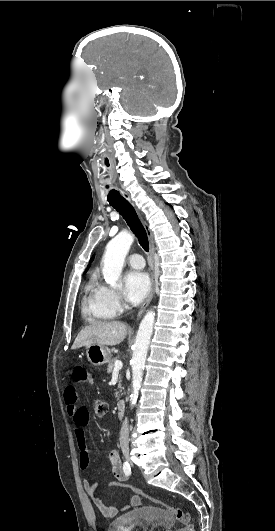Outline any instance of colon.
Here are the masks:
<instances>
[{"instance_id": "colon-1", "label": "colon", "mask_w": 275, "mask_h": 531, "mask_svg": "<svg viewBox=\"0 0 275 531\" xmlns=\"http://www.w3.org/2000/svg\"><path fill=\"white\" fill-rule=\"evenodd\" d=\"M94 411L98 417L105 416L107 413V404L102 400H99V399L95 400ZM112 485H120V484L118 482H115V483H111V486ZM124 486L126 488H129V491H131L133 494L143 495V490H141L139 486L134 487L132 484H126ZM92 494H95V491H92ZM154 502L160 504L165 509L166 512L170 513L176 518V520L180 524V531H194V526L192 524L191 516L184 509L177 507V506L170 505L161 500L154 499Z\"/></svg>"}]
</instances>
